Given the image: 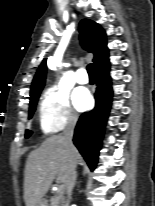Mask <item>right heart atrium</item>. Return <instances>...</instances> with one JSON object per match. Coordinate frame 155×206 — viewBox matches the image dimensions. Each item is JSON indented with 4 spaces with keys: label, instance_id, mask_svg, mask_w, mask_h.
Segmentation results:
<instances>
[{
    "label": "right heart atrium",
    "instance_id": "right-heart-atrium-1",
    "mask_svg": "<svg viewBox=\"0 0 155 206\" xmlns=\"http://www.w3.org/2000/svg\"><path fill=\"white\" fill-rule=\"evenodd\" d=\"M39 120L45 134H52L76 124L77 117L64 90L51 86L44 91L39 106Z\"/></svg>",
    "mask_w": 155,
    "mask_h": 206
}]
</instances>
